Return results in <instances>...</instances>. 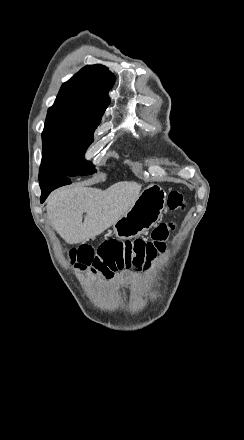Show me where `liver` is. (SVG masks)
<instances>
[{
  "label": "liver",
  "mask_w": 244,
  "mask_h": 440,
  "mask_svg": "<svg viewBox=\"0 0 244 440\" xmlns=\"http://www.w3.org/2000/svg\"><path fill=\"white\" fill-rule=\"evenodd\" d=\"M141 188L137 182H118L108 190L61 188L47 200V216L67 244L88 242L128 212ZM84 212L86 218L82 222Z\"/></svg>",
  "instance_id": "liver-1"
}]
</instances>
